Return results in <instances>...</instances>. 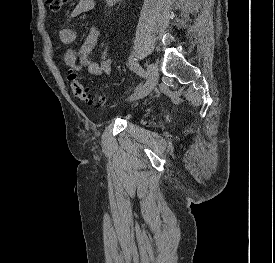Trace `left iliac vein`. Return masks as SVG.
<instances>
[{
	"label": "left iliac vein",
	"mask_w": 275,
	"mask_h": 263,
	"mask_svg": "<svg viewBox=\"0 0 275 263\" xmlns=\"http://www.w3.org/2000/svg\"><path fill=\"white\" fill-rule=\"evenodd\" d=\"M158 81V68L154 63H150L147 67V79L142 88H140L136 93L129 97L130 101L144 98L147 96L153 88L156 86Z\"/></svg>",
	"instance_id": "4c4485c4"
}]
</instances>
